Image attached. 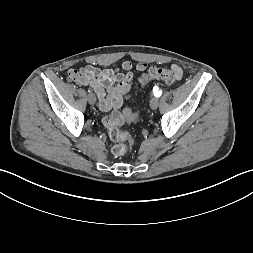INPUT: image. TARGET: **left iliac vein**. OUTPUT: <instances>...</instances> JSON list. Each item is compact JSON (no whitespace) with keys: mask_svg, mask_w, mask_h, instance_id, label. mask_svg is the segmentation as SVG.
<instances>
[{"mask_svg":"<svg viewBox=\"0 0 253 253\" xmlns=\"http://www.w3.org/2000/svg\"><path fill=\"white\" fill-rule=\"evenodd\" d=\"M159 105V99L157 97H153L151 100H150V107L152 109H157Z\"/></svg>","mask_w":253,"mask_h":253,"instance_id":"1","label":"left iliac vein"}]
</instances>
